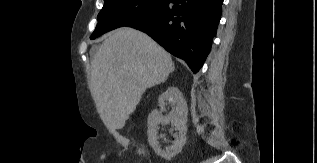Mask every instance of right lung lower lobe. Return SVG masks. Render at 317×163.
<instances>
[{"label":"right lung lower lobe","mask_w":317,"mask_h":163,"mask_svg":"<svg viewBox=\"0 0 317 163\" xmlns=\"http://www.w3.org/2000/svg\"><path fill=\"white\" fill-rule=\"evenodd\" d=\"M222 3L223 0H168L126 26L147 33L197 73L216 35Z\"/></svg>","instance_id":"right-lung-lower-lobe-1"}]
</instances>
